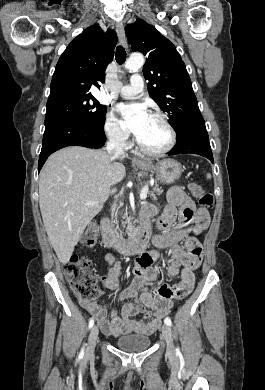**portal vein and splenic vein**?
<instances>
[{
	"label": "portal vein and splenic vein",
	"mask_w": 265,
	"mask_h": 390,
	"mask_svg": "<svg viewBox=\"0 0 265 390\" xmlns=\"http://www.w3.org/2000/svg\"><path fill=\"white\" fill-rule=\"evenodd\" d=\"M148 190H149V186L148 185H145L142 188L141 193H140V199L141 200H145L147 198ZM94 204H95L94 202H87L86 203V205H88V206H91V205H94Z\"/></svg>",
	"instance_id": "obj_1"
}]
</instances>
